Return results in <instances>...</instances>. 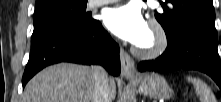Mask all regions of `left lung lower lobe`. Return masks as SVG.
<instances>
[{"label": "left lung lower lobe", "instance_id": "1", "mask_svg": "<svg viewBox=\"0 0 221 102\" xmlns=\"http://www.w3.org/2000/svg\"><path fill=\"white\" fill-rule=\"evenodd\" d=\"M216 42L199 31L183 30L175 37L167 39L168 46L159 58L140 62L138 69L141 72L199 70L212 77L221 87V61Z\"/></svg>", "mask_w": 221, "mask_h": 102}]
</instances>
